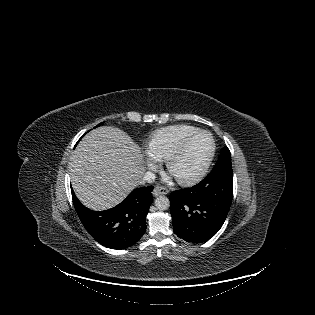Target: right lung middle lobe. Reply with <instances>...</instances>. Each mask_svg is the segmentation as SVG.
I'll use <instances>...</instances> for the list:
<instances>
[{
	"mask_svg": "<svg viewBox=\"0 0 315 315\" xmlns=\"http://www.w3.org/2000/svg\"><path fill=\"white\" fill-rule=\"evenodd\" d=\"M102 123H100L99 125H97L96 127L100 126Z\"/></svg>",
	"mask_w": 315,
	"mask_h": 315,
	"instance_id": "right-lung-middle-lobe-1",
	"label": "right lung middle lobe"
}]
</instances>
